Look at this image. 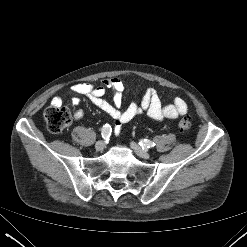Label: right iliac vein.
<instances>
[{"label":"right iliac vein","mask_w":247,"mask_h":247,"mask_svg":"<svg viewBox=\"0 0 247 247\" xmlns=\"http://www.w3.org/2000/svg\"><path fill=\"white\" fill-rule=\"evenodd\" d=\"M105 146H106L105 141L100 140L95 144V149L97 151H102L105 148Z\"/></svg>","instance_id":"1"}]
</instances>
